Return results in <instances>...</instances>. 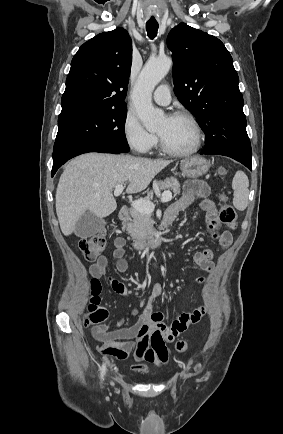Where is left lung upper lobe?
Listing matches in <instances>:
<instances>
[{
	"label": "left lung upper lobe",
	"instance_id": "5c2ea615",
	"mask_svg": "<svg viewBox=\"0 0 283 434\" xmlns=\"http://www.w3.org/2000/svg\"><path fill=\"white\" fill-rule=\"evenodd\" d=\"M167 46L175 94L204 131V151L237 161L251 158L239 78L222 41L180 23L170 31Z\"/></svg>",
	"mask_w": 283,
	"mask_h": 434
}]
</instances>
